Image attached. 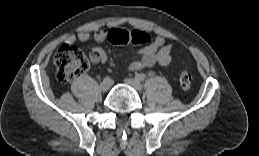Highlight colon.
<instances>
[{"label": "colon", "mask_w": 259, "mask_h": 156, "mask_svg": "<svg viewBox=\"0 0 259 156\" xmlns=\"http://www.w3.org/2000/svg\"><path fill=\"white\" fill-rule=\"evenodd\" d=\"M108 40L113 44H146L151 41L150 36L142 30L126 31L122 29H112L108 34ZM54 66L59 81L70 82L82 75L89 66L86 55L77 47L64 44L54 56ZM181 88L185 91L191 88L192 75L187 69H183L179 76Z\"/></svg>", "instance_id": "obj_1"}]
</instances>
